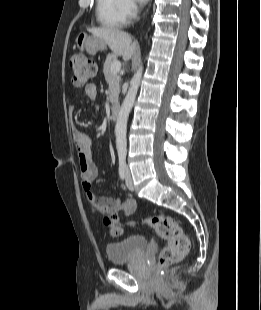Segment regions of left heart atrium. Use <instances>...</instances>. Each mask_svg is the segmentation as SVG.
Listing matches in <instances>:
<instances>
[{"mask_svg": "<svg viewBox=\"0 0 261 310\" xmlns=\"http://www.w3.org/2000/svg\"><path fill=\"white\" fill-rule=\"evenodd\" d=\"M141 3H145L147 0H138Z\"/></svg>", "mask_w": 261, "mask_h": 310, "instance_id": "obj_1", "label": "left heart atrium"}]
</instances>
